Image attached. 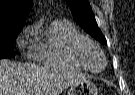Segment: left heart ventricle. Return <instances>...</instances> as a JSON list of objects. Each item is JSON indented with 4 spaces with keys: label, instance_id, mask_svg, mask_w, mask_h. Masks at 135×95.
Segmentation results:
<instances>
[{
    "label": "left heart ventricle",
    "instance_id": "obj_1",
    "mask_svg": "<svg viewBox=\"0 0 135 95\" xmlns=\"http://www.w3.org/2000/svg\"><path fill=\"white\" fill-rule=\"evenodd\" d=\"M83 56L89 67L100 69L103 66V59L97 50L86 47L83 51Z\"/></svg>",
    "mask_w": 135,
    "mask_h": 95
}]
</instances>
